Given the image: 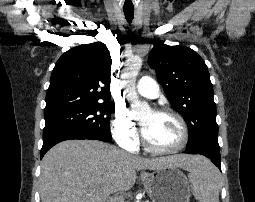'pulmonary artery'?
I'll use <instances>...</instances> for the list:
<instances>
[{
	"label": "pulmonary artery",
	"mask_w": 255,
	"mask_h": 202,
	"mask_svg": "<svg viewBox=\"0 0 255 202\" xmlns=\"http://www.w3.org/2000/svg\"><path fill=\"white\" fill-rule=\"evenodd\" d=\"M137 92L146 98L155 99L159 96V86L153 78L143 76L137 83Z\"/></svg>",
	"instance_id": "obj_1"
}]
</instances>
